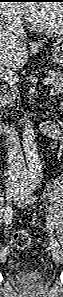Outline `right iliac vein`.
I'll return each mask as SVG.
<instances>
[{"instance_id": "63e3f726", "label": "right iliac vein", "mask_w": 63, "mask_h": 297, "mask_svg": "<svg viewBox=\"0 0 63 297\" xmlns=\"http://www.w3.org/2000/svg\"><path fill=\"white\" fill-rule=\"evenodd\" d=\"M7 253H3L0 257L1 261L4 262L6 260Z\"/></svg>"}]
</instances>
